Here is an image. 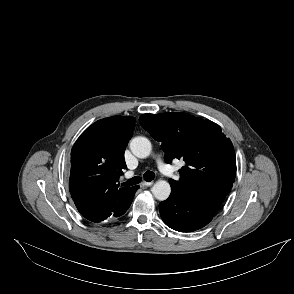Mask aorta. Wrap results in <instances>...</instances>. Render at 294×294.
I'll list each match as a JSON object with an SVG mask.
<instances>
[{"label": "aorta", "instance_id": "aorta-1", "mask_svg": "<svg viewBox=\"0 0 294 294\" xmlns=\"http://www.w3.org/2000/svg\"><path fill=\"white\" fill-rule=\"evenodd\" d=\"M130 149L136 157L147 158L151 153L152 146L146 137L138 136L131 140ZM152 193L157 200L164 201L170 196V184L165 180H159L152 187Z\"/></svg>", "mask_w": 294, "mask_h": 294}]
</instances>
